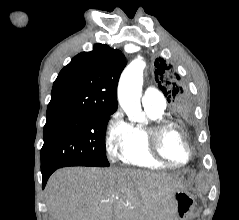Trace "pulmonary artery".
Instances as JSON below:
<instances>
[{
    "instance_id": "pulmonary-artery-1",
    "label": "pulmonary artery",
    "mask_w": 239,
    "mask_h": 220,
    "mask_svg": "<svg viewBox=\"0 0 239 220\" xmlns=\"http://www.w3.org/2000/svg\"><path fill=\"white\" fill-rule=\"evenodd\" d=\"M142 104L144 107L165 109L166 100L158 89L154 87H147L143 93Z\"/></svg>"
}]
</instances>
